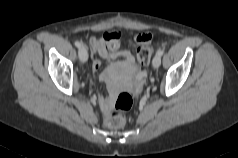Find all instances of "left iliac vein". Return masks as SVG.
I'll return each mask as SVG.
<instances>
[{
	"instance_id": "left-iliac-vein-1",
	"label": "left iliac vein",
	"mask_w": 238,
	"mask_h": 158,
	"mask_svg": "<svg viewBox=\"0 0 238 158\" xmlns=\"http://www.w3.org/2000/svg\"><path fill=\"white\" fill-rule=\"evenodd\" d=\"M152 64H153V67L155 69H157L160 66V64H161V57L158 54H156L154 56Z\"/></svg>"
}]
</instances>
